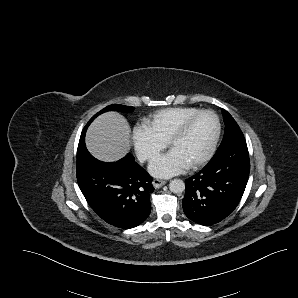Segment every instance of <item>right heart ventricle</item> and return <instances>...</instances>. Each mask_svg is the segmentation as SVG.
I'll list each match as a JSON object with an SVG mask.
<instances>
[{
    "mask_svg": "<svg viewBox=\"0 0 298 298\" xmlns=\"http://www.w3.org/2000/svg\"><path fill=\"white\" fill-rule=\"evenodd\" d=\"M199 111L201 109L196 107H173L159 110L148 119L149 128L156 136L166 141V137L180 121Z\"/></svg>",
    "mask_w": 298,
    "mask_h": 298,
    "instance_id": "e07e8e85",
    "label": "right heart ventricle"
}]
</instances>
